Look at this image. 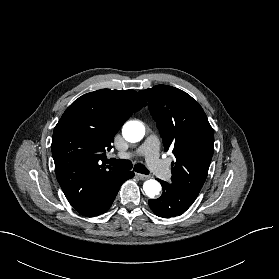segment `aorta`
Listing matches in <instances>:
<instances>
[{
  "label": "aorta",
  "mask_w": 279,
  "mask_h": 279,
  "mask_svg": "<svg viewBox=\"0 0 279 279\" xmlns=\"http://www.w3.org/2000/svg\"><path fill=\"white\" fill-rule=\"evenodd\" d=\"M122 134L126 141L136 143L143 139L145 127L141 122L128 121L123 126ZM143 190L149 198H154L159 194L161 185L158 181L150 179L144 182Z\"/></svg>",
  "instance_id": "aorta-1"
}]
</instances>
